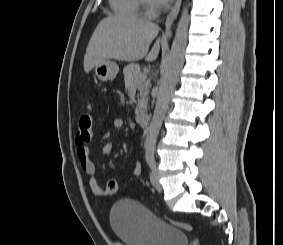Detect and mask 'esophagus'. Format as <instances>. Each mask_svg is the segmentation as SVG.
Masks as SVG:
<instances>
[{
  "mask_svg": "<svg viewBox=\"0 0 283 245\" xmlns=\"http://www.w3.org/2000/svg\"><path fill=\"white\" fill-rule=\"evenodd\" d=\"M181 2L182 0H176L174 6L172 7L171 11L169 12L166 18L164 37L167 39L170 38L172 35L171 27H172L173 22L178 16Z\"/></svg>",
  "mask_w": 283,
  "mask_h": 245,
  "instance_id": "1",
  "label": "esophagus"
}]
</instances>
